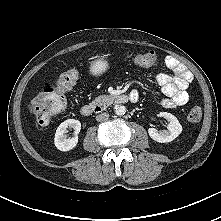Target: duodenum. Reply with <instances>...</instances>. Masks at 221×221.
Returning a JSON list of instances; mask_svg holds the SVG:
<instances>
[{
    "label": "duodenum",
    "mask_w": 221,
    "mask_h": 221,
    "mask_svg": "<svg viewBox=\"0 0 221 221\" xmlns=\"http://www.w3.org/2000/svg\"><path fill=\"white\" fill-rule=\"evenodd\" d=\"M138 98L139 96L136 93H133L131 95L121 94L116 97V102L117 103L136 102ZM101 111H102V108L100 106L92 105V104L83 105L80 109V113L83 116H90L93 113H100Z\"/></svg>",
    "instance_id": "duodenum-1"
}]
</instances>
